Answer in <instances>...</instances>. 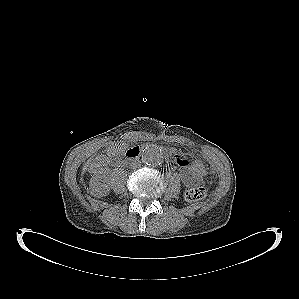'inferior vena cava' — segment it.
I'll list each match as a JSON object with an SVG mask.
<instances>
[{
    "label": "inferior vena cava",
    "instance_id": "1",
    "mask_svg": "<svg viewBox=\"0 0 299 299\" xmlns=\"http://www.w3.org/2000/svg\"><path fill=\"white\" fill-rule=\"evenodd\" d=\"M141 165V162L140 161H135V162H132L131 166L132 168H137Z\"/></svg>",
    "mask_w": 299,
    "mask_h": 299
}]
</instances>
